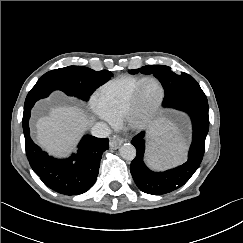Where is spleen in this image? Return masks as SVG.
I'll return each mask as SVG.
<instances>
[{
	"mask_svg": "<svg viewBox=\"0 0 243 243\" xmlns=\"http://www.w3.org/2000/svg\"><path fill=\"white\" fill-rule=\"evenodd\" d=\"M186 142L166 120H159L151 129L148 163L157 169L180 163L186 156Z\"/></svg>",
	"mask_w": 243,
	"mask_h": 243,
	"instance_id": "1",
	"label": "spleen"
}]
</instances>
